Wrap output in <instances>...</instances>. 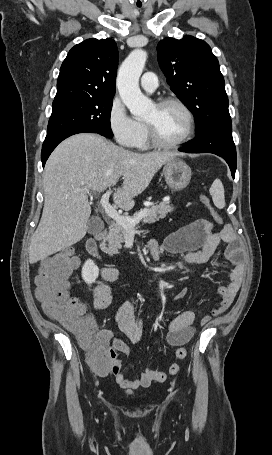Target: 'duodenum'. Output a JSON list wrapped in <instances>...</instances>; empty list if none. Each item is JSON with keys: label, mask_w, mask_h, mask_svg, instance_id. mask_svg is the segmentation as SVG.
Returning a JSON list of instances; mask_svg holds the SVG:
<instances>
[{"label": "duodenum", "mask_w": 272, "mask_h": 455, "mask_svg": "<svg viewBox=\"0 0 272 455\" xmlns=\"http://www.w3.org/2000/svg\"><path fill=\"white\" fill-rule=\"evenodd\" d=\"M107 236V229H101L99 232L95 233L92 237H90L87 241V249L88 251L99 258H101V243Z\"/></svg>", "instance_id": "410a0bca"}]
</instances>
